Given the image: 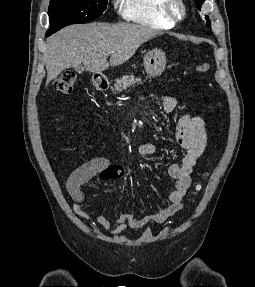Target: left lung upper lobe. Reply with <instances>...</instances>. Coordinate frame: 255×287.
Segmentation results:
<instances>
[{
  "mask_svg": "<svg viewBox=\"0 0 255 287\" xmlns=\"http://www.w3.org/2000/svg\"><path fill=\"white\" fill-rule=\"evenodd\" d=\"M195 2H196V5L198 6V9L200 10V8H201V6H202V4H203V2L205 1V0H194ZM206 19H207V22H206V25H207V27H209L210 28V20H209V18H208V16H206Z\"/></svg>",
  "mask_w": 255,
  "mask_h": 287,
  "instance_id": "obj_1",
  "label": "left lung upper lobe"
}]
</instances>
